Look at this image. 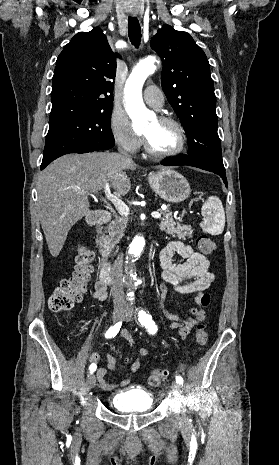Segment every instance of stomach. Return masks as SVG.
I'll list each match as a JSON object with an SVG mask.
<instances>
[{
    "mask_svg": "<svg viewBox=\"0 0 279 465\" xmlns=\"http://www.w3.org/2000/svg\"><path fill=\"white\" fill-rule=\"evenodd\" d=\"M148 182L160 198L170 203H180L191 193L186 178L170 168H163L150 174Z\"/></svg>",
    "mask_w": 279,
    "mask_h": 465,
    "instance_id": "obj_1",
    "label": "stomach"
}]
</instances>
